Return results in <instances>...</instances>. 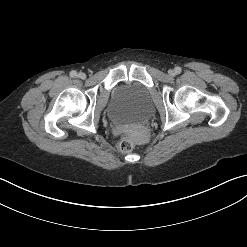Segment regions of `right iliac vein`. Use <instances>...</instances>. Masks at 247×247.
Segmentation results:
<instances>
[{"instance_id": "63e3f726", "label": "right iliac vein", "mask_w": 247, "mask_h": 247, "mask_svg": "<svg viewBox=\"0 0 247 247\" xmlns=\"http://www.w3.org/2000/svg\"><path fill=\"white\" fill-rule=\"evenodd\" d=\"M78 77L81 78V79H85L86 78V75H85V73L80 72L78 74Z\"/></svg>"}]
</instances>
